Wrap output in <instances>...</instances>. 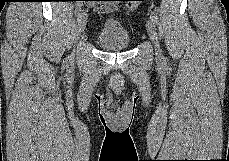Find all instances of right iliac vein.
<instances>
[{
	"label": "right iliac vein",
	"mask_w": 229,
	"mask_h": 161,
	"mask_svg": "<svg viewBox=\"0 0 229 161\" xmlns=\"http://www.w3.org/2000/svg\"><path fill=\"white\" fill-rule=\"evenodd\" d=\"M86 23H87V14L86 12H83L77 21V28H76V34H75L76 40H78L80 36L82 35V33L84 32Z\"/></svg>",
	"instance_id": "63e3f726"
}]
</instances>
